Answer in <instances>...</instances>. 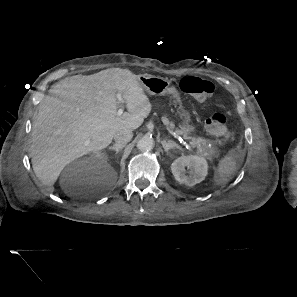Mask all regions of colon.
I'll use <instances>...</instances> for the list:
<instances>
[{"mask_svg": "<svg viewBox=\"0 0 297 297\" xmlns=\"http://www.w3.org/2000/svg\"><path fill=\"white\" fill-rule=\"evenodd\" d=\"M180 89L188 94L195 96L200 100L210 98L214 92V85L207 80L188 76L180 81ZM228 118L221 112H213L206 120L207 130L216 137H226Z\"/></svg>", "mask_w": 297, "mask_h": 297, "instance_id": "1", "label": "colon"}]
</instances>
